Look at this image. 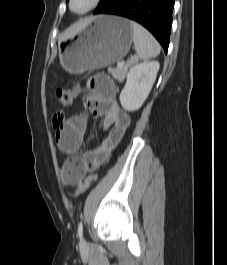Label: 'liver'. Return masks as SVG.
<instances>
[{
	"label": "liver",
	"instance_id": "6515ba94",
	"mask_svg": "<svg viewBox=\"0 0 227 265\" xmlns=\"http://www.w3.org/2000/svg\"><path fill=\"white\" fill-rule=\"evenodd\" d=\"M84 28V24L83 23H79L77 25H74L73 27L67 29L66 31H64L60 37H59V43L61 41L73 38L78 32H80L82 29Z\"/></svg>",
	"mask_w": 227,
	"mask_h": 265
}]
</instances>
